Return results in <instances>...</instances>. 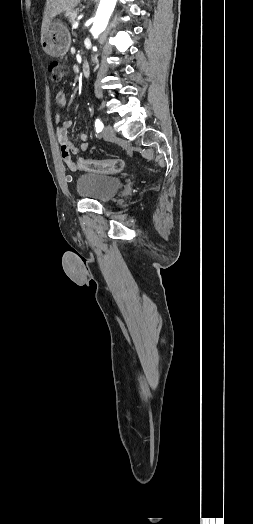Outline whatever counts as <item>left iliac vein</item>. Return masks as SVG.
<instances>
[{
  "label": "left iliac vein",
  "instance_id": "left-iliac-vein-1",
  "mask_svg": "<svg viewBox=\"0 0 253 524\" xmlns=\"http://www.w3.org/2000/svg\"><path fill=\"white\" fill-rule=\"evenodd\" d=\"M103 138L107 141L115 139L116 133L111 125H106L103 129Z\"/></svg>",
  "mask_w": 253,
  "mask_h": 524
}]
</instances>
